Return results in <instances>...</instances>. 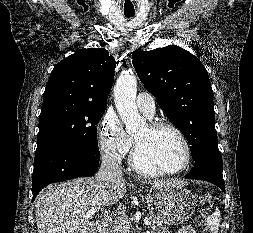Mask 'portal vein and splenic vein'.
I'll return each mask as SVG.
<instances>
[{
	"label": "portal vein and splenic vein",
	"mask_w": 253,
	"mask_h": 233,
	"mask_svg": "<svg viewBox=\"0 0 253 233\" xmlns=\"http://www.w3.org/2000/svg\"><path fill=\"white\" fill-rule=\"evenodd\" d=\"M120 214L124 217L126 216L125 210H123L121 207L118 208ZM99 211V208H92L87 212V216H92L95 212ZM144 224L150 226L151 222L148 218L144 219Z\"/></svg>",
	"instance_id": "portal-vein-and-splenic-vein-1"
}]
</instances>
